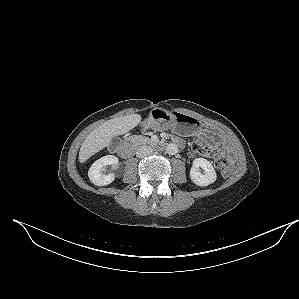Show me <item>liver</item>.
<instances>
[{"label": "liver", "instance_id": "liver-1", "mask_svg": "<svg viewBox=\"0 0 299 299\" xmlns=\"http://www.w3.org/2000/svg\"><path fill=\"white\" fill-rule=\"evenodd\" d=\"M141 115L131 114L110 119L94 129L83 141L79 161L84 163L91 156L107 147L112 138L128 133L141 122Z\"/></svg>", "mask_w": 299, "mask_h": 299}]
</instances>
